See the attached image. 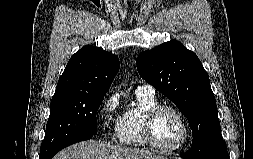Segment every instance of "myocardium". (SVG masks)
I'll list each match as a JSON object with an SVG mask.
<instances>
[{"label":"myocardium","instance_id":"obj_1","mask_svg":"<svg viewBox=\"0 0 253 159\" xmlns=\"http://www.w3.org/2000/svg\"><path fill=\"white\" fill-rule=\"evenodd\" d=\"M164 110L172 111L173 113H175L179 117L183 126L182 138L173 147H163L159 145L154 136V131H153L154 121L157 115ZM189 134H190L189 124L185 116L183 115V113L178 108L172 105H168V104H156L145 112V115L142 121V137H143L144 142L148 146L158 151H161L163 153H175L185 146V144L187 143L189 139Z\"/></svg>","mask_w":253,"mask_h":159}]
</instances>
